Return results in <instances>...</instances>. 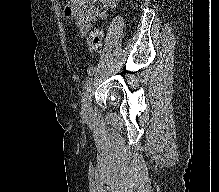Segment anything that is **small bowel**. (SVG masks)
I'll return each instance as SVG.
<instances>
[{
    "label": "small bowel",
    "instance_id": "c3829d8e",
    "mask_svg": "<svg viewBox=\"0 0 219 192\" xmlns=\"http://www.w3.org/2000/svg\"><path fill=\"white\" fill-rule=\"evenodd\" d=\"M119 0H68L65 13L75 19L79 36L90 48L89 31L97 20H105ZM100 5V6H99Z\"/></svg>",
    "mask_w": 219,
    "mask_h": 192
}]
</instances>
